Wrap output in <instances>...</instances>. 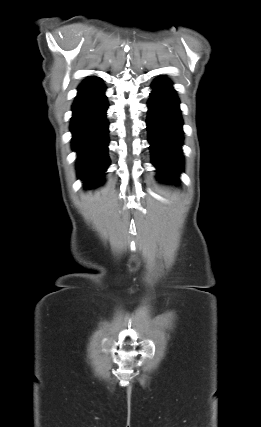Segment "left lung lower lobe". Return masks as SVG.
<instances>
[{"label":"left lung lower lobe","mask_w":261,"mask_h":427,"mask_svg":"<svg viewBox=\"0 0 261 427\" xmlns=\"http://www.w3.org/2000/svg\"><path fill=\"white\" fill-rule=\"evenodd\" d=\"M171 82L157 78L148 102L147 129L152 162L159 169L161 181L176 182L182 170V118L179 100L171 87Z\"/></svg>","instance_id":"obj_1"}]
</instances>
